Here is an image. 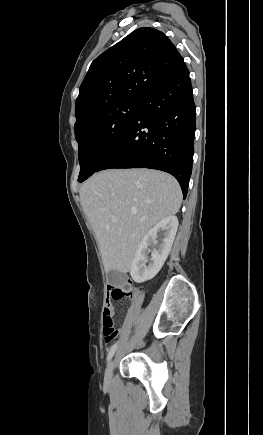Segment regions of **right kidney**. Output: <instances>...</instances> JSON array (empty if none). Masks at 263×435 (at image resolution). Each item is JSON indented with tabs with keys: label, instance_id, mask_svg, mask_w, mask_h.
Returning a JSON list of instances; mask_svg holds the SVG:
<instances>
[{
	"label": "right kidney",
	"instance_id": "ca27d5eb",
	"mask_svg": "<svg viewBox=\"0 0 263 435\" xmlns=\"http://www.w3.org/2000/svg\"><path fill=\"white\" fill-rule=\"evenodd\" d=\"M178 224L176 216H168L158 222L142 238L130 268V275L135 282L142 283L150 280L161 270L174 242ZM158 233L161 235L160 241H157ZM152 244L156 247L151 251L149 260L150 250L148 248Z\"/></svg>",
	"mask_w": 263,
	"mask_h": 435
}]
</instances>
